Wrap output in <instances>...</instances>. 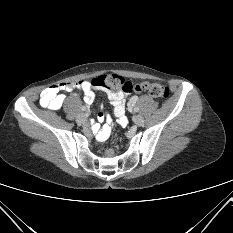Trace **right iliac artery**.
Wrapping results in <instances>:
<instances>
[{"instance_id": "obj_1", "label": "right iliac artery", "mask_w": 233, "mask_h": 233, "mask_svg": "<svg viewBox=\"0 0 233 233\" xmlns=\"http://www.w3.org/2000/svg\"><path fill=\"white\" fill-rule=\"evenodd\" d=\"M81 110H82V111H86V108H85V107H82Z\"/></svg>"}]
</instances>
